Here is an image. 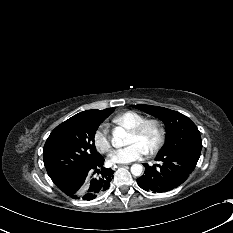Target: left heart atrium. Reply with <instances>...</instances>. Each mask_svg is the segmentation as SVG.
<instances>
[{
  "mask_svg": "<svg viewBox=\"0 0 233 233\" xmlns=\"http://www.w3.org/2000/svg\"><path fill=\"white\" fill-rule=\"evenodd\" d=\"M147 154V150L139 143L134 142L128 146L117 149L110 154V159L114 163H130L140 159Z\"/></svg>",
  "mask_w": 233,
  "mask_h": 233,
  "instance_id": "obj_1",
  "label": "left heart atrium"
}]
</instances>
